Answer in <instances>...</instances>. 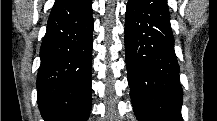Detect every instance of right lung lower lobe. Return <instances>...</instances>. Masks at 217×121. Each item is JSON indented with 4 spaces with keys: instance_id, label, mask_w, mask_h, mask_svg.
Returning a JSON list of instances; mask_svg holds the SVG:
<instances>
[{
    "instance_id": "98d812e1",
    "label": "right lung lower lobe",
    "mask_w": 217,
    "mask_h": 121,
    "mask_svg": "<svg viewBox=\"0 0 217 121\" xmlns=\"http://www.w3.org/2000/svg\"><path fill=\"white\" fill-rule=\"evenodd\" d=\"M90 0H56L40 49L38 105L45 121H86L91 107Z\"/></svg>"
}]
</instances>
